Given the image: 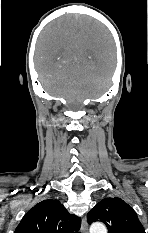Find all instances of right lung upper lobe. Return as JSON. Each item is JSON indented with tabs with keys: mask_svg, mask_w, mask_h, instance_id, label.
I'll return each instance as SVG.
<instances>
[{
	"mask_svg": "<svg viewBox=\"0 0 148 233\" xmlns=\"http://www.w3.org/2000/svg\"><path fill=\"white\" fill-rule=\"evenodd\" d=\"M81 220L58 200H44L31 208L14 233H75Z\"/></svg>",
	"mask_w": 148,
	"mask_h": 233,
	"instance_id": "right-lung-upper-lobe-1",
	"label": "right lung upper lobe"
}]
</instances>
